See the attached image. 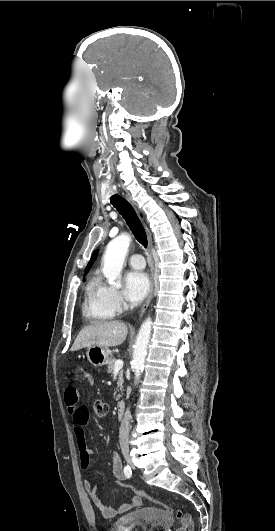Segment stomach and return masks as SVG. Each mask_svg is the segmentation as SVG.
Masks as SVG:
<instances>
[{"instance_id":"1","label":"stomach","mask_w":275,"mask_h":531,"mask_svg":"<svg viewBox=\"0 0 275 531\" xmlns=\"http://www.w3.org/2000/svg\"><path fill=\"white\" fill-rule=\"evenodd\" d=\"M87 359L94 367H103L108 365L112 359V353L107 347H99V345H91L87 347Z\"/></svg>"}]
</instances>
